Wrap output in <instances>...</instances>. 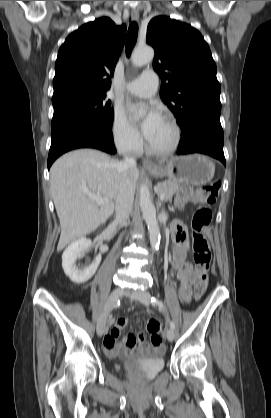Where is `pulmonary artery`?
I'll return each mask as SVG.
<instances>
[{
    "label": "pulmonary artery",
    "instance_id": "pulmonary-artery-1",
    "mask_svg": "<svg viewBox=\"0 0 271 418\" xmlns=\"http://www.w3.org/2000/svg\"><path fill=\"white\" fill-rule=\"evenodd\" d=\"M158 87V76L155 71L148 69L141 73L139 77L127 84L126 90L135 96L151 97L155 94Z\"/></svg>",
    "mask_w": 271,
    "mask_h": 418
}]
</instances>
